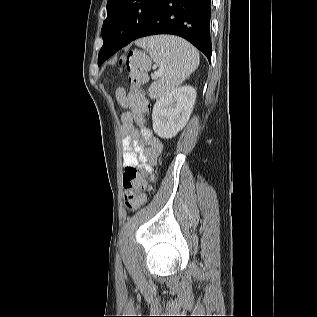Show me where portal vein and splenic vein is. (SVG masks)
<instances>
[{
    "label": "portal vein and splenic vein",
    "instance_id": "obj_1",
    "mask_svg": "<svg viewBox=\"0 0 317 317\" xmlns=\"http://www.w3.org/2000/svg\"><path fill=\"white\" fill-rule=\"evenodd\" d=\"M161 76V73L160 72H155V74L153 75V78H158Z\"/></svg>",
    "mask_w": 317,
    "mask_h": 317
}]
</instances>
